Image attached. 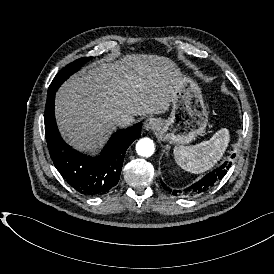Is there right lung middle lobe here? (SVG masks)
I'll return each instance as SVG.
<instances>
[{"label":"right lung middle lobe","mask_w":274,"mask_h":274,"mask_svg":"<svg viewBox=\"0 0 274 274\" xmlns=\"http://www.w3.org/2000/svg\"><path fill=\"white\" fill-rule=\"evenodd\" d=\"M90 59H92V57L81 58L63 68L53 79L51 85L49 86L48 93L56 92L66 79H68L73 73L77 72L80 67Z\"/></svg>","instance_id":"dd1d6c3e"}]
</instances>
